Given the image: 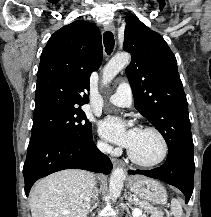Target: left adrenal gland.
<instances>
[{"label":"left adrenal gland","mask_w":211,"mask_h":217,"mask_svg":"<svg viewBox=\"0 0 211 217\" xmlns=\"http://www.w3.org/2000/svg\"><path fill=\"white\" fill-rule=\"evenodd\" d=\"M128 194H129V196L126 197L127 201H128L130 204H135V205H136V203H135V202L133 201V199H132L131 193L129 192ZM129 203H127V205H129Z\"/></svg>","instance_id":"1"}]
</instances>
